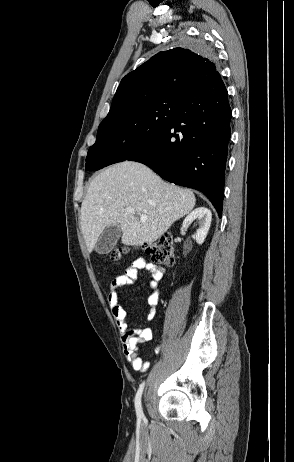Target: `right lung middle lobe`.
<instances>
[{"label":"right lung middle lobe","instance_id":"dd1d6c3e","mask_svg":"<svg viewBox=\"0 0 294 462\" xmlns=\"http://www.w3.org/2000/svg\"><path fill=\"white\" fill-rule=\"evenodd\" d=\"M184 44L205 55L213 50L202 39ZM184 97L168 94L135 103L109 113L98 128L97 139L88 156L98 154L104 167L126 160L145 141L161 132L179 111Z\"/></svg>","mask_w":294,"mask_h":462}]
</instances>
